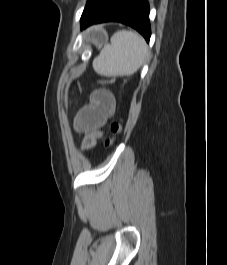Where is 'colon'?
<instances>
[{
    "label": "colon",
    "mask_w": 227,
    "mask_h": 265,
    "mask_svg": "<svg viewBox=\"0 0 227 265\" xmlns=\"http://www.w3.org/2000/svg\"><path fill=\"white\" fill-rule=\"evenodd\" d=\"M108 83L115 82V79L109 78L106 80ZM111 131H112V137L105 142V146L110 148L114 145L117 138L121 135L123 132V122L122 120H116L111 125Z\"/></svg>",
    "instance_id": "obj_1"
}]
</instances>
